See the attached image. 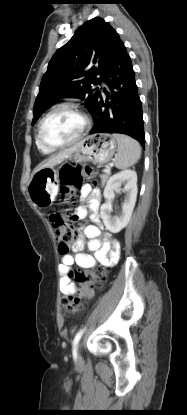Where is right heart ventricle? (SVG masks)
Instances as JSON below:
<instances>
[{
  "instance_id": "obj_1",
  "label": "right heart ventricle",
  "mask_w": 187,
  "mask_h": 415,
  "mask_svg": "<svg viewBox=\"0 0 187 415\" xmlns=\"http://www.w3.org/2000/svg\"><path fill=\"white\" fill-rule=\"evenodd\" d=\"M36 145L38 147V149L43 153V154H51L53 152V150H49L45 147H43L39 141L36 139Z\"/></svg>"
}]
</instances>
